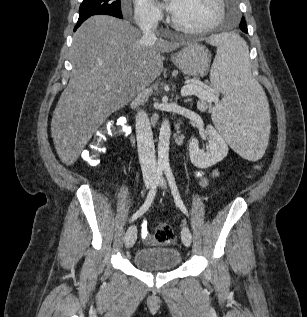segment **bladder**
<instances>
[{"instance_id": "31cf9c89", "label": "bladder", "mask_w": 307, "mask_h": 317, "mask_svg": "<svg viewBox=\"0 0 307 317\" xmlns=\"http://www.w3.org/2000/svg\"><path fill=\"white\" fill-rule=\"evenodd\" d=\"M180 261V253L175 248L146 247L138 250L134 256L135 266L151 273L172 271Z\"/></svg>"}]
</instances>
